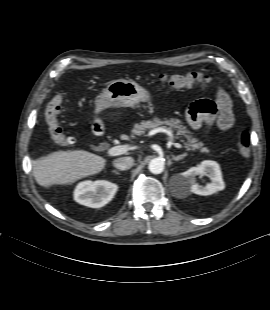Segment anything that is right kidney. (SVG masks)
I'll return each mask as SVG.
<instances>
[{
	"mask_svg": "<svg viewBox=\"0 0 270 310\" xmlns=\"http://www.w3.org/2000/svg\"><path fill=\"white\" fill-rule=\"evenodd\" d=\"M118 186L106 180L84 181L74 190V200L81 205L100 208L114 197Z\"/></svg>",
	"mask_w": 270,
	"mask_h": 310,
	"instance_id": "right-kidney-1",
	"label": "right kidney"
}]
</instances>
